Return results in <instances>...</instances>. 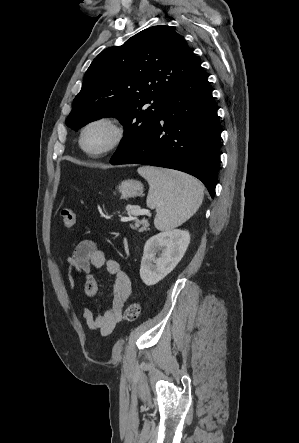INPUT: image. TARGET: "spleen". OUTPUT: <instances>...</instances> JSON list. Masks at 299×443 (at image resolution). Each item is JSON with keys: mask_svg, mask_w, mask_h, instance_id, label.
Instances as JSON below:
<instances>
[{"mask_svg": "<svg viewBox=\"0 0 299 443\" xmlns=\"http://www.w3.org/2000/svg\"><path fill=\"white\" fill-rule=\"evenodd\" d=\"M149 183L147 206L156 209L158 230H171L188 220L200 207L204 188L195 178L173 170L150 166L138 168Z\"/></svg>", "mask_w": 299, "mask_h": 443, "instance_id": "obj_1", "label": "spleen"}]
</instances>
